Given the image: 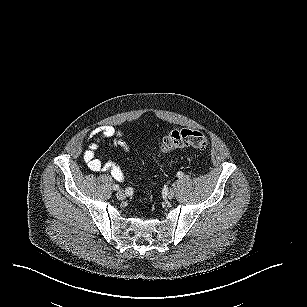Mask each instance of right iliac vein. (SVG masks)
Segmentation results:
<instances>
[{
    "instance_id": "obj_1",
    "label": "right iliac vein",
    "mask_w": 307,
    "mask_h": 307,
    "mask_svg": "<svg viewBox=\"0 0 307 307\" xmlns=\"http://www.w3.org/2000/svg\"><path fill=\"white\" fill-rule=\"evenodd\" d=\"M116 197H117V199H119V200H123V199L125 198V194H124V192H123L122 190H119V191H117V193H116Z\"/></svg>"
}]
</instances>
